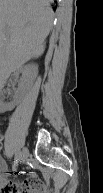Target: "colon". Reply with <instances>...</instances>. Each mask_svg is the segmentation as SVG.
Instances as JSON below:
<instances>
[{"label":"colon","mask_w":103,"mask_h":193,"mask_svg":"<svg viewBox=\"0 0 103 193\" xmlns=\"http://www.w3.org/2000/svg\"><path fill=\"white\" fill-rule=\"evenodd\" d=\"M18 190L20 191V193H26V189H25V187H23V186H20V187L18 188Z\"/></svg>","instance_id":"1"}]
</instances>
